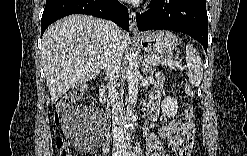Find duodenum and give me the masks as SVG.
Listing matches in <instances>:
<instances>
[{"instance_id": "obj_1", "label": "duodenum", "mask_w": 247, "mask_h": 156, "mask_svg": "<svg viewBox=\"0 0 247 156\" xmlns=\"http://www.w3.org/2000/svg\"><path fill=\"white\" fill-rule=\"evenodd\" d=\"M101 92H102V94H106L107 93V87L106 86H103L101 88Z\"/></svg>"}]
</instances>
